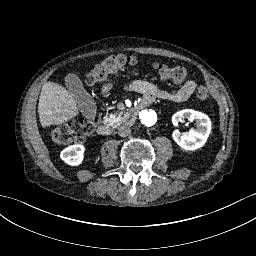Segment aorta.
<instances>
[{
	"label": "aorta",
	"mask_w": 256,
	"mask_h": 256,
	"mask_svg": "<svg viewBox=\"0 0 256 256\" xmlns=\"http://www.w3.org/2000/svg\"><path fill=\"white\" fill-rule=\"evenodd\" d=\"M157 120V113L153 109H146L141 115V122L145 126H152Z\"/></svg>",
	"instance_id": "obj_1"
}]
</instances>
